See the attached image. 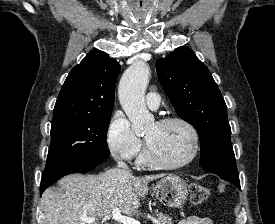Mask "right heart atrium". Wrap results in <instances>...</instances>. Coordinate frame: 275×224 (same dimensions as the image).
<instances>
[{
  "label": "right heart atrium",
  "mask_w": 275,
  "mask_h": 224,
  "mask_svg": "<svg viewBox=\"0 0 275 224\" xmlns=\"http://www.w3.org/2000/svg\"><path fill=\"white\" fill-rule=\"evenodd\" d=\"M106 142L110 153L121 160L131 161L141 152L142 143L134 134L128 119L117 112L107 129Z\"/></svg>",
  "instance_id": "1"
}]
</instances>
